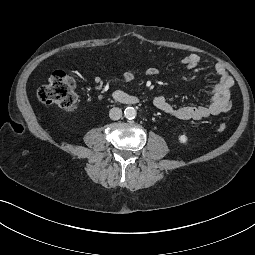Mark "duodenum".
<instances>
[{
  "instance_id": "410a0bca",
  "label": "duodenum",
  "mask_w": 255,
  "mask_h": 255,
  "mask_svg": "<svg viewBox=\"0 0 255 255\" xmlns=\"http://www.w3.org/2000/svg\"><path fill=\"white\" fill-rule=\"evenodd\" d=\"M113 97L115 100L125 104H136L139 102V99L136 96L129 95L122 91H115Z\"/></svg>"
}]
</instances>
